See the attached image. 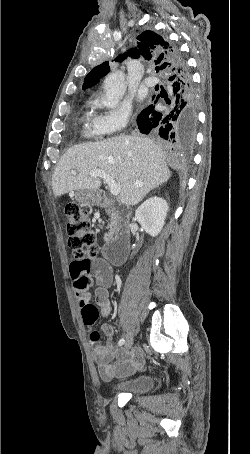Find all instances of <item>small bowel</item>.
Masks as SVG:
<instances>
[{"mask_svg": "<svg viewBox=\"0 0 250 454\" xmlns=\"http://www.w3.org/2000/svg\"><path fill=\"white\" fill-rule=\"evenodd\" d=\"M69 276L73 289L82 308L92 304L90 285L95 282V304L99 308L101 317H107L111 311L108 289L113 282L112 267L103 259L91 258L86 260H73L69 264ZM101 331L107 339L106 344L93 342L94 361L100 378L110 381L136 372L144 362L140 350H121L112 343L114 328L110 324H103Z\"/></svg>", "mask_w": 250, "mask_h": 454, "instance_id": "c3829d8e", "label": "small bowel"}]
</instances>
